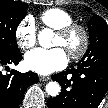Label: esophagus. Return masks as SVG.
Instances as JSON below:
<instances>
[{"label": "esophagus", "mask_w": 108, "mask_h": 108, "mask_svg": "<svg viewBox=\"0 0 108 108\" xmlns=\"http://www.w3.org/2000/svg\"><path fill=\"white\" fill-rule=\"evenodd\" d=\"M39 80L40 81H49L50 80V77H48V76H39Z\"/></svg>", "instance_id": "obj_1"}]
</instances>
